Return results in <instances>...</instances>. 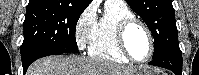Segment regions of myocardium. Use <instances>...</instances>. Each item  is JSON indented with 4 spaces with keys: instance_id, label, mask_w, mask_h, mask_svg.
<instances>
[{
    "instance_id": "obj_1",
    "label": "myocardium",
    "mask_w": 199,
    "mask_h": 75,
    "mask_svg": "<svg viewBox=\"0 0 199 75\" xmlns=\"http://www.w3.org/2000/svg\"><path fill=\"white\" fill-rule=\"evenodd\" d=\"M133 25H139L140 27H142V29L145 31L147 37H148V41H149V53L148 55L142 59V60H137L135 59L129 52L128 48H127V44H126V35L127 32L129 30V28ZM116 39H117V43L118 46L121 50V52L125 55V57L133 62V63H137V64H144L147 63L153 53H154V49H155V45H154V39L152 36V33L149 29V27L139 18H136L134 16L128 17L123 19L116 28Z\"/></svg>"
}]
</instances>
